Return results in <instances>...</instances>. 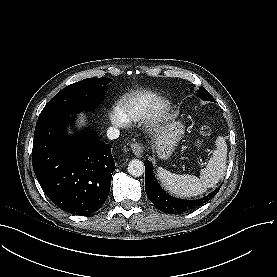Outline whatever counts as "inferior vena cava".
Masks as SVG:
<instances>
[{"label":"inferior vena cava","instance_id":"obj_1","mask_svg":"<svg viewBox=\"0 0 277 277\" xmlns=\"http://www.w3.org/2000/svg\"><path fill=\"white\" fill-rule=\"evenodd\" d=\"M120 135V131L116 127H109L107 130V137L110 140L117 139Z\"/></svg>","mask_w":277,"mask_h":277}]
</instances>
